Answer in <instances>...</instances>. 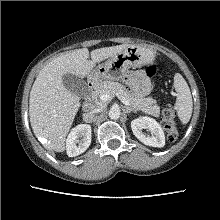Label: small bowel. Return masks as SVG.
I'll return each instance as SVG.
<instances>
[{
    "label": "small bowel",
    "mask_w": 220,
    "mask_h": 220,
    "mask_svg": "<svg viewBox=\"0 0 220 220\" xmlns=\"http://www.w3.org/2000/svg\"><path fill=\"white\" fill-rule=\"evenodd\" d=\"M127 82L140 95H147L150 90V82L142 72H135L128 76Z\"/></svg>",
    "instance_id": "small-bowel-1"
}]
</instances>
